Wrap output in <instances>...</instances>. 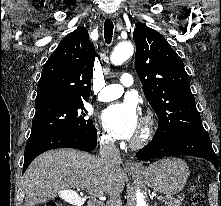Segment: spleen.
<instances>
[{
	"instance_id": "1",
	"label": "spleen",
	"mask_w": 221,
	"mask_h": 206,
	"mask_svg": "<svg viewBox=\"0 0 221 206\" xmlns=\"http://www.w3.org/2000/svg\"><path fill=\"white\" fill-rule=\"evenodd\" d=\"M209 203L210 206L218 205V192H216L214 186L209 191Z\"/></svg>"
}]
</instances>
